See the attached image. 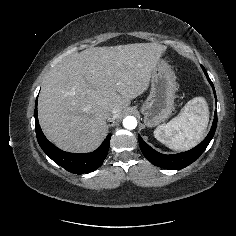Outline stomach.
<instances>
[{"mask_svg":"<svg viewBox=\"0 0 236 236\" xmlns=\"http://www.w3.org/2000/svg\"><path fill=\"white\" fill-rule=\"evenodd\" d=\"M176 90L174 71L166 61L159 60L152 71L150 95L141 106L147 127L159 125L172 114Z\"/></svg>","mask_w":236,"mask_h":236,"instance_id":"0dacf381","label":"stomach"}]
</instances>
